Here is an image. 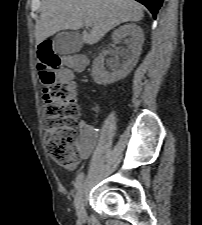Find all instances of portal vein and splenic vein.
<instances>
[{
	"instance_id": "portal-vein-and-splenic-vein-1",
	"label": "portal vein and splenic vein",
	"mask_w": 202,
	"mask_h": 225,
	"mask_svg": "<svg viewBox=\"0 0 202 225\" xmlns=\"http://www.w3.org/2000/svg\"><path fill=\"white\" fill-rule=\"evenodd\" d=\"M89 23H90L89 21H86V24H87V25H89Z\"/></svg>"
}]
</instances>
